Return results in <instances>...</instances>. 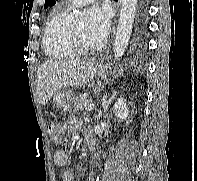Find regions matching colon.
<instances>
[{"label": "colon", "mask_w": 197, "mask_h": 181, "mask_svg": "<svg viewBox=\"0 0 197 181\" xmlns=\"http://www.w3.org/2000/svg\"><path fill=\"white\" fill-rule=\"evenodd\" d=\"M49 134L56 140L61 139V125L57 122H52L48 125Z\"/></svg>", "instance_id": "colon-1"}]
</instances>
